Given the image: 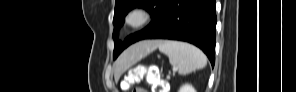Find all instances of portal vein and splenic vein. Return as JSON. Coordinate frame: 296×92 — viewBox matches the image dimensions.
Masks as SVG:
<instances>
[{"mask_svg":"<svg viewBox=\"0 0 296 92\" xmlns=\"http://www.w3.org/2000/svg\"><path fill=\"white\" fill-rule=\"evenodd\" d=\"M177 71V68H173V72Z\"/></svg>","mask_w":296,"mask_h":92,"instance_id":"obj_1","label":"portal vein and splenic vein"}]
</instances>
